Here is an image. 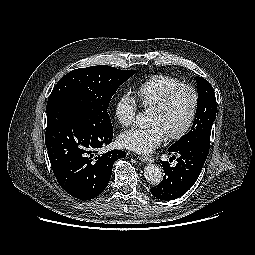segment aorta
<instances>
[{
    "label": "aorta",
    "instance_id": "obj_1",
    "mask_svg": "<svg viewBox=\"0 0 255 255\" xmlns=\"http://www.w3.org/2000/svg\"><path fill=\"white\" fill-rule=\"evenodd\" d=\"M136 121L137 125L140 128H146L147 127V116L145 112H139L136 115ZM144 176L145 179L152 185H158L162 179H163V172L160 166L156 164H148L144 168Z\"/></svg>",
    "mask_w": 255,
    "mask_h": 255
}]
</instances>
